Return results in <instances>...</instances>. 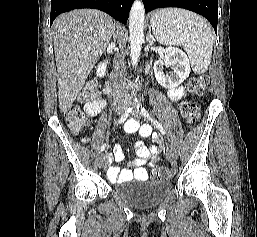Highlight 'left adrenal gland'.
Wrapping results in <instances>:
<instances>
[{
	"mask_svg": "<svg viewBox=\"0 0 257 237\" xmlns=\"http://www.w3.org/2000/svg\"><path fill=\"white\" fill-rule=\"evenodd\" d=\"M147 41L152 45L154 43V38L151 34V29L149 28L148 34H147Z\"/></svg>",
	"mask_w": 257,
	"mask_h": 237,
	"instance_id": "obj_1",
	"label": "left adrenal gland"
}]
</instances>
